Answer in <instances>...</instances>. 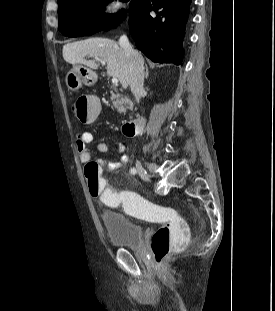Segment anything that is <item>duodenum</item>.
<instances>
[{
  "label": "duodenum",
  "mask_w": 275,
  "mask_h": 311,
  "mask_svg": "<svg viewBox=\"0 0 275 311\" xmlns=\"http://www.w3.org/2000/svg\"><path fill=\"white\" fill-rule=\"evenodd\" d=\"M144 123L145 119L143 116L125 122L122 124V132L125 136H134L142 130Z\"/></svg>",
  "instance_id": "duodenum-1"
}]
</instances>
